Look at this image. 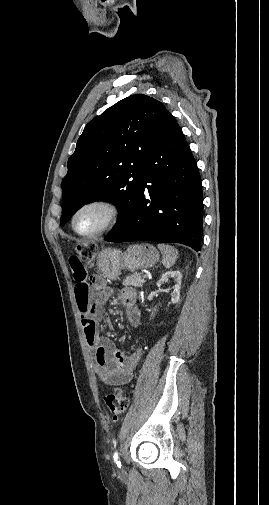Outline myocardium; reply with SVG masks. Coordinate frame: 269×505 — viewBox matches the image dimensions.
<instances>
[{
    "mask_svg": "<svg viewBox=\"0 0 269 505\" xmlns=\"http://www.w3.org/2000/svg\"><path fill=\"white\" fill-rule=\"evenodd\" d=\"M91 206H102L105 207L109 211V218L106 221V223L101 226L99 229L91 232V233H81L76 229L75 226V221L78 216V214L84 210L85 208L91 207ZM122 214V210L120 205L114 201L113 199L107 198V197H97V198H92L88 201H85L82 203L73 213L72 218H71V227L72 230L79 236L85 237V238H93L97 237L108 230H110L112 227H114L120 220Z\"/></svg>",
    "mask_w": 269,
    "mask_h": 505,
    "instance_id": "f54148a6",
    "label": "myocardium"
}]
</instances>
